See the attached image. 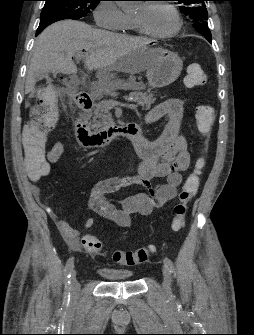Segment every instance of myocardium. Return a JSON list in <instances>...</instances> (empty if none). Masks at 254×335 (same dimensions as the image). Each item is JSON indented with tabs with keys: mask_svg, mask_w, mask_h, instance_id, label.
<instances>
[{
	"mask_svg": "<svg viewBox=\"0 0 254 335\" xmlns=\"http://www.w3.org/2000/svg\"><path fill=\"white\" fill-rule=\"evenodd\" d=\"M146 5H164L167 8H169L171 10V12L173 13L174 17H175V25L174 27L169 30L168 32L165 33H156V32H151L148 31L147 29H145L140 22H138L136 19H133L137 29L144 35H147L149 37L152 38H156V39H167V38H171L174 35H176L182 28V18L180 15L179 10L177 9V7L170 3V2H166V1H156L153 2L151 4H146Z\"/></svg>",
	"mask_w": 254,
	"mask_h": 335,
	"instance_id": "obj_1",
	"label": "myocardium"
}]
</instances>
